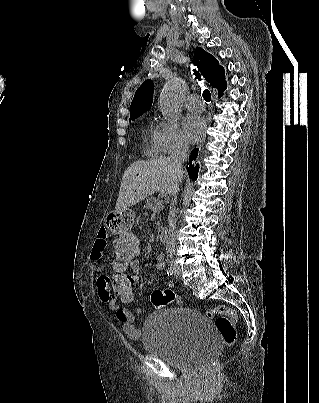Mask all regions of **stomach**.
<instances>
[{
    "label": "stomach",
    "mask_w": 319,
    "mask_h": 403,
    "mask_svg": "<svg viewBox=\"0 0 319 403\" xmlns=\"http://www.w3.org/2000/svg\"><path fill=\"white\" fill-rule=\"evenodd\" d=\"M134 214L128 209L113 210L106 216V227L111 234H130L134 228Z\"/></svg>",
    "instance_id": "0dacf381"
}]
</instances>
